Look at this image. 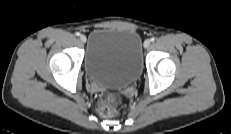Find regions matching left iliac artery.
Listing matches in <instances>:
<instances>
[{
  "label": "left iliac artery",
  "mask_w": 231,
  "mask_h": 134,
  "mask_svg": "<svg viewBox=\"0 0 231 134\" xmlns=\"http://www.w3.org/2000/svg\"><path fill=\"white\" fill-rule=\"evenodd\" d=\"M151 41L154 42V41H155V37H152V38H151Z\"/></svg>",
  "instance_id": "1"
}]
</instances>
